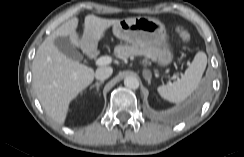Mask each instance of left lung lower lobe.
Returning <instances> with one entry per match:
<instances>
[{
  "label": "left lung lower lobe",
  "instance_id": "left-lung-lower-lobe-1",
  "mask_svg": "<svg viewBox=\"0 0 244 157\" xmlns=\"http://www.w3.org/2000/svg\"><path fill=\"white\" fill-rule=\"evenodd\" d=\"M194 107V103L190 104L189 106H187L186 108V112H190Z\"/></svg>",
  "mask_w": 244,
  "mask_h": 157
}]
</instances>
